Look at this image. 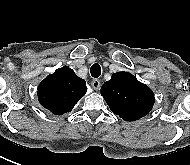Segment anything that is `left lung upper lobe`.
<instances>
[{"mask_svg":"<svg viewBox=\"0 0 190 165\" xmlns=\"http://www.w3.org/2000/svg\"><path fill=\"white\" fill-rule=\"evenodd\" d=\"M101 95L110 110L126 121H135L146 116L155 101L150 88L129 72L114 73L102 85Z\"/></svg>","mask_w":190,"mask_h":165,"instance_id":"5c2ea615","label":"left lung upper lobe"}]
</instances>
